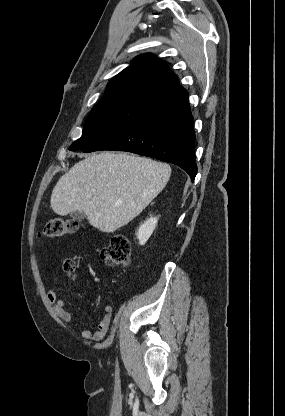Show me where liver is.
<instances>
[{
    "mask_svg": "<svg viewBox=\"0 0 285 416\" xmlns=\"http://www.w3.org/2000/svg\"><path fill=\"white\" fill-rule=\"evenodd\" d=\"M171 176L168 164L127 152L93 154L61 176L52 190L58 216L82 212L90 226L112 234L139 216Z\"/></svg>",
    "mask_w": 285,
    "mask_h": 416,
    "instance_id": "liver-1",
    "label": "liver"
}]
</instances>
